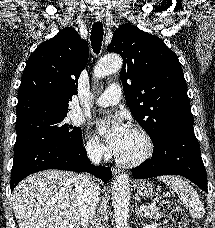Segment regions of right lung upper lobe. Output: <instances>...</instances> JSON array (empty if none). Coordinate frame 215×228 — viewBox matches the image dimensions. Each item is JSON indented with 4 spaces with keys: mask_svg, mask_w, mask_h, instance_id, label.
<instances>
[{
    "mask_svg": "<svg viewBox=\"0 0 215 228\" xmlns=\"http://www.w3.org/2000/svg\"><path fill=\"white\" fill-rule=\"evenodd\" d=\"M88 44L67 27L29 57L18 90L17 121L68 113L78 78L88 61Z\"/></svg>",
    "mask_w": 215,
    "mask_h": 228,
    "instance_id": "right-lung-upper-lobe-1",
    "label": "right lung upper lobe"
}]
</instances>
